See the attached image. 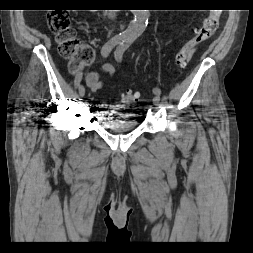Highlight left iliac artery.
<instances>
[{"label": "left iliac artery", "instance_id": "left-iliac-artery-1", "mask_svg": "<svg viewBox=\"0 0 253 253\" xmlns=\"http://www.w3.org/2000/svg\"><path fill=\"white\" fill-rule=\"evenodd\" d=\"M132 40L131 39H125L122 41V43L119 45V47L116 49L115 51V59L117 61H121L124 52L129 48V46L131 45ZM153 93L156 95H161V90L157 87L153 88Z\"/></svg>", "mask_w": 253, "mask_h": 253}]
</instances>
